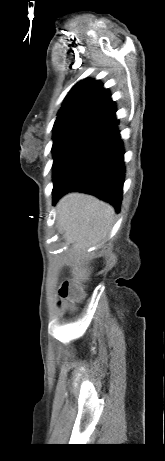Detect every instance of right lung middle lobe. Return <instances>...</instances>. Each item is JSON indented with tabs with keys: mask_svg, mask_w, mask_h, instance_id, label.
Here are the masks:
<instances>
[{
	"mask_svg": "<svg viewBox=\"0 0 165 461\" xmlns=\"http://www.w3.org/2000/svg\"><path fill=\"white\" fill-rule=\"evenodd\" d=\"M108 122L102 118L81 115L56 119L53 127V181L83 146Z\"/></svg>",
	"mask_w": 165,
	"mask_h": 461,
	"instance_id": "dd1d6c3e",
	"label": "right lung middle lobe"
}]
</instances>
